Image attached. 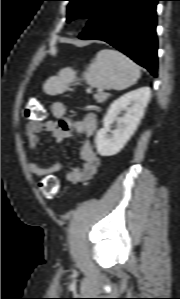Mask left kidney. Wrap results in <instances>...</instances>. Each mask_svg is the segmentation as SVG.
Masks as SVG:
<instances>
[{
  "label": "left kidney",
  "instance_id": "1",
  "mask_svg": "<svg viewBox=\"0 0 180 299\" xmlns=\"http://www.w3.org/2000/svg\"><path fill=\"white\" fill-rule=\"evenodd\" d=\"M149 99L150 88L142 87L123 95L110 105L103 119V128L98 130L95 137L97 152L101 156H113L125 146L137 129ZM121 111H125V114L118 117ZM114 122L117 128L111 131Z\"/></svg>",
  "mask_w": 180,
  "mask_h": 299
}]
</instances>
